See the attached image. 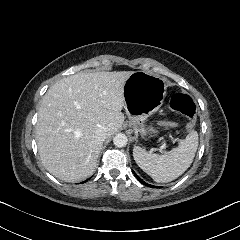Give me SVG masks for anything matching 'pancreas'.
<instances>
[{
    "instance_id": "cf45deb5",
    "label": "pancreas",
    "mask_w": 240,
    "mask_h": 240,
    "mask_svg": "<svg viewBox=\"0 0 240 240\" xmlns=\"http://www.w3.org/2000/svg\"><path fill=\"white\" fill-rule=\"evenodd\" d=\"M149 130L153 133H156L157 131L153 128V127H149ZM142 133H144V130L141 131Z\"/></svg>"
}]
</instances>
